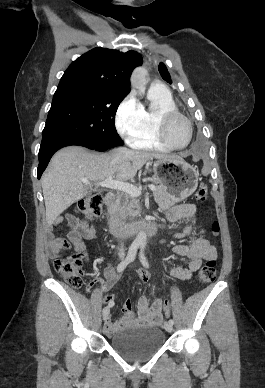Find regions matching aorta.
I'll return each instance as SVG.
<instances>
[{
    "instance_id": "1",
    "label": "aorta",
    "mask_w": 265,
    "mask_h": 388,
    "mask_svg": "<svg viewBox=\"0 0 265 388\" xmlns=\"http://www.w3.org/2000/svg\"><path fill=\"white\" fill-rule=\"evenodd\" d=\"M145 76H146V70L144 68H137L134 70L132 76H131V85L133 88L142 90L145 85ZM147 241L146 233L141 231L138 233L134 240V244L137 246H145Z\"/></svg>"
}]
</instances>
